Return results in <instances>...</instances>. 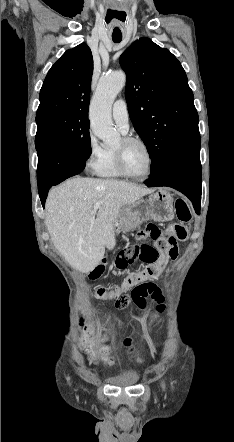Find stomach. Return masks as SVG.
Returning <instances> with one entry per match:
<instances>
[{"mask_svg":"<svg viewBox=\"0 0 234 442\" xmlns=\"http://www.w3.org/2000/svg\"><path fill=\"white\" fill-rule=\"evenodd\" d=\"M150 218L159 222L174 218L173 197L167 189L160 188L150 194L147 200H139L123 207L115 224V231H132Z\"/></svg>","mask_w":234,"mask_h":442,"instance_id":"1","label":"stomach"}]
</instances>
